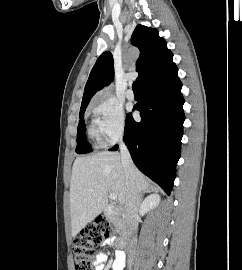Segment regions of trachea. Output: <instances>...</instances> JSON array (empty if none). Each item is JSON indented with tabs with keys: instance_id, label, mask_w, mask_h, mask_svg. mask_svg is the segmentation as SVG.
Segmentation results:
<instances>
[{
	"instance_id": "trachea-1",
	"label": "trachea",
	"mask_w": 242,
	"mask_h": 270,
	"mask_svg": "<svg viewBox=\"0 0 242 270\" xmlns=\"http://www.w3.org/2000/svg\"><path fill=\"white\" fill-rule=\"evenodd\" d=\"M132 89L134 92H140L139 82H137V81L133 82Z\"/></svg>"
}]
</instances>
